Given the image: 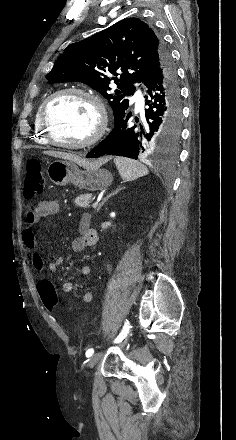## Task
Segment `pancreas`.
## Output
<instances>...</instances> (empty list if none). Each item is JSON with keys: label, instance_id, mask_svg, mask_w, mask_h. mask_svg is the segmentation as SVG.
<instances>
[{"label": "pancreas", "instance_id": "pancreas-1", "mask_svg": "<svg viewBox=\"0 0 236 440\" xmlns=\"http://www.w3.org/2000/svg\"><path fill=\"white\" fill-rule=\"evenodd\" d=\"M74 202L77 207L88 208L90 207V203L92 202V195L91 194L79 195L78 197L75 198Z\"/></svg>", "mask_w": 236, "mask_h": 440}]
</instances>
